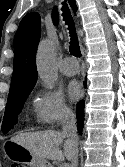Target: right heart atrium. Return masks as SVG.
I'll return each mask as SVG.
<instances>
[{
  "label": "right heart atrium",
  "instance_id": "1",
  "mask_svg": "<svg viewBox=\"0 0 125 167\" xmlns=\"http://www.w3.org/2000/svg\"><path fill=\"white\" fill-rule=\"evenodd\" d=\"M35 121L42 127H54L72 116V109L65 98L57 91L40 88L33 97Z\"/></svg>",
  "mask_w": 125,
  "mask_h": 167
}]
</instances>
